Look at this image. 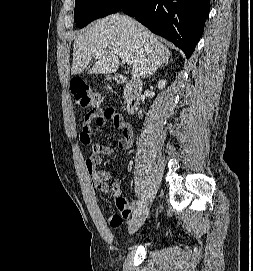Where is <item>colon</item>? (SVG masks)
<instances>
[{
    "label": "colon",
    "mask_w": 253,
    "mask_h": 271,
    "mask_svg": "<svg viewBox=\"0 0 253 271\" xmlns=\"http://www.w3.org/2000/svg\"><path fill=\"white\" fill-rule=\"evenodd\" d=\"M71 85L74 99L78 105L82 107H92L94 112H102V96L98 92L91 90L84 82L78 79L73 80ZM104 116L107 119L117 122L120 118L112 109L105 110ZM115 197L116 206L119 210H123L125 208V201L120 198L117 193H115ZM108 221L111 226H116L120 224L122 220L118 215H110Z\"/></svg>",
    "instance_id": "obj_1"
}]
</instances>
